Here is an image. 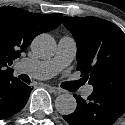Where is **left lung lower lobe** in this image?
Returning <instances> with one entry per match:
<instances>
[{
    "mask_svg": "<svg viewBox=\"0 0 125 125\" xmlns=\"http://www.w3.org/2000/svg\"><path fill=\"white\" fill-rule=\"evenodd\" d=\"M77 108L63 118L70 125H113L125 111V94L93 91L87 100L74 95Z\"/></svg>",
    "mask_w": 125,
    "mask_h": 125,
    "instance_id": "left-lung-lower-lobe-1",
    "label": "left lung lower lobe"
}]
</instances>
